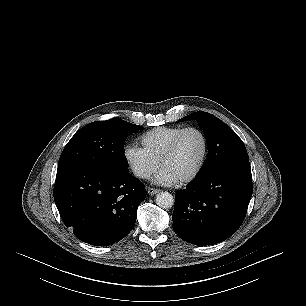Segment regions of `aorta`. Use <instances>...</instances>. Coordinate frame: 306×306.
Masks as SVG:
<instances>
[{
  "mask_svg": "<svg viewBox=\"0 0 306 306\" xmlns=\"http://www.w3.org/2000/svg\"><path fill=\"white\" fill-rule=\"evenodd\" d=\"M156 204L163 209H168L173 206L174 198L169 192L162 191L156 196Z\"/></svg>",
  "mask_w": 306,
  "mask_h": 306,
  "instance_id": "aorta-1",
  "label": "aorta"
}]
</instances>
